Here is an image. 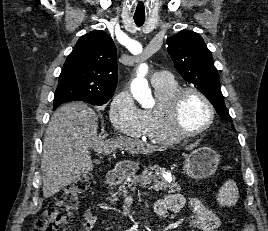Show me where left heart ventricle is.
I'll return each instance as SVG.
<instances>
[{
    "label": "left heart ventricle",
    "mask_w": 268,
    "mask_h": 231,
    "mask_svg": "<svg viewBox=\"0 0 268 231\" xmlns=\"http://www.w3.org/2000/svg\"><path fill=\"white\" fill-rule=\"evenodd\" d=\"M207 105L195 94H186L179 108V127L183 131H193L209 119Z\"/></svg>",
    "instance_id": "obj_1"
}]
</instances>
